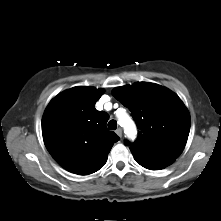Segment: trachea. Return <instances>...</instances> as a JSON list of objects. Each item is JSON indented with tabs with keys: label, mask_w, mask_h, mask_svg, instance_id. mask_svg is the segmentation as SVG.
<instances>
[{
	"label": "trachea",
	"mask_w": 221,
	"mask_h": 221,
	"mask_svg": "<svg viewBox=\"0 0 221 221\" xmlns=\"http://www.w3.org/2000/svg\"><path fill=\"white\" fill-rule=\"evenodd\" d=\"M108 128H109L110 130H116V128H117V122H116L115 120H110V121L108 122Z\"/></svg>",
	"instance_id": "trachea-1"
}]
</instances>
